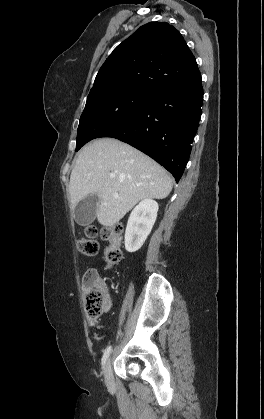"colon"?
Segmentation results:
<instances>
[{
  "instance_id": "obj_1",
  "label": "colon",
  "mask_w": 264,
  "mask_h": 419,
  "mask_svg": "<svg viewBox=\"0 0 264 419\" xmlns=\"http://www.w3.org/2000/svg\"><path fill=\"white\" fill-rule=\"evenodd\" d=\"M121 231V226L117 225L102 232V236L109 242L105 250V260L109 265H114L122 259L120 249ZM97 234L98 230L94 226H88L85 229V237L78 241V249L82 254L95 256L98 253L99 246L94 239ZM82 291L86 316L89 322L95 325L108 300L107 286L98 273L91 270L83 277Z\"/></svg>"
}]
</instances>
